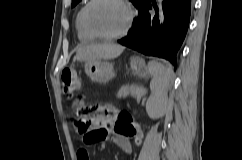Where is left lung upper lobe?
I'll return each mask as SVG.
<instances>
[{
	"mask_svg": "<svg viewBox=\"0 0 242 160\" xmlns=\"http://www.w3.org/2000/svg\"><path fill=\"white\" fill-rule=\"evenodd\" d=\"M81 0H72V7L76 6ZM134 6L139 10L146 0H130Z\"/></svg>",
	"mask_w": 242,
	"mask_h": 160,
	"instance_id": "left-lung-upper-lobe-1",
	"label": "left lung upper lobe"
}]
</instances>
